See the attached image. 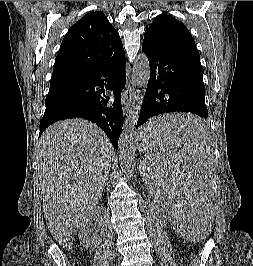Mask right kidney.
I'll list each match as a JSON object with an SVG mask.
<instances>
[{
	"mask_svg": "<svg viewBox=\"0 0 253 266\" xmlns=\"http://www.w3.org/2000/svg\"><path fill=\"white\" fill-rule=\"evenodd\" d=\"M94 219L95 215L88 217L78 228V237L81 245L90 249L97 247L100 244L102 237V234H98L97 231L93 233V229L91 227Z\"/></svg>",
	"mask_w": 253,
	"mask_h": 266,
	"instance_id": "ca27d5eb",
	"label": "right kidney"
}]
</instances>
